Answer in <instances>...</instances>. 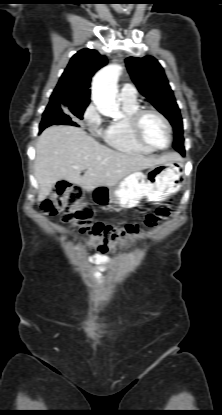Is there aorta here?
<instances>
[{"mask_svg": "<svg viewBox=\"0 0 222 415\" xmlns=\"http://www.w3.org/2000/svg\"><path fill=\"white\" fill-rule=\"evenodd\" d=\"M121 72V65L109 64L99 70L93 78L92 101L104 116L113 118L121 116L119 103L116 100L117 82Z\"/></svg>", "mask_w": 222, "mask_h": 415, "instance_id": "aorta-1", "label": "aorta"}]
</instances>
